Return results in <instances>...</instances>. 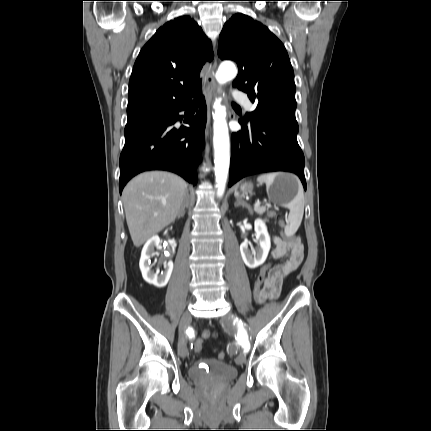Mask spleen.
I'll return each instance as SVG.
<instances>
[{
	"instance_id": "1",
	"label": "spleen",
	"mask_w": 431,
	"mask_h": 431,
	"mask_svg": "<svg viewBox=\"0 0 431 431\" xmlns=\"http://www.w3.org/2000/svg\"><path fill=\"white\" fill-rule=\"evenodd\" d=\"M279 173H268L258 176L257 181L266 183L267 186L271 185ZM290 212L288 215V223L285 227L287 236H292L298 230L303 214H304V192L303 188L299 186L297 196L287 205Z\"/></svg>"
}]
</instances>
